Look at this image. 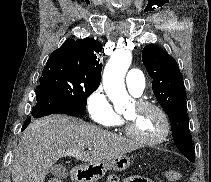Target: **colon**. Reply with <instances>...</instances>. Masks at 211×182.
<instances>
[{
    "mask_svg": "<svg viewBox=\"0 0 211 182\" xmlns=\"http://www.w3.org/2000/svg\"><path fill=\"white\" fill-rule=\"evenodd\" d=\"M165 178L169 181H176L180 177V173L175 169H168L164 173ZM49 182H63L60 179L53 178Z\"/></svg>",
    "mask_w": 211,
    "mask_h": 182,
    "instance_id": "obj_1",
    "label": "colon"
}]
</instances>
